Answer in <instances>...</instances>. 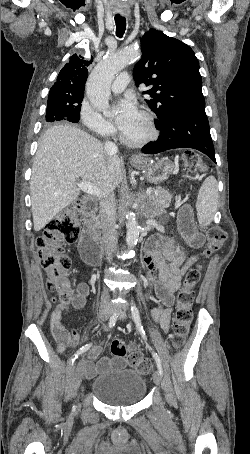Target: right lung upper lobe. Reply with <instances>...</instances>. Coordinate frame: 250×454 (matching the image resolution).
I'll use <instances>...</instances> for the list:
<instances>
[{"label": "right lung upper lobe", "mask_w": 250, "mask_h": 454, "mask_svg": "<svg viewBox=\"0 0 250 454\" xmlns=\"http://www.w3.org/2000/svg\"><path fill=\"white\" fill-rule=\"evenodd\" d=\"M76 54L70 57L69 62L61 69L57 81L51 87L49 96L58 98H74L84 96V87L87 80V67L93 61L82 59Z\"/></svg>", "instance_id": "cb5924a9"}]
</instances>
